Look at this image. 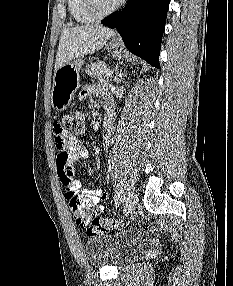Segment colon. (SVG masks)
<instances>
[{
  "mask_svg": "<svg viewBox=\"0 0 233 286\" xmlns=\"http://www.w3.org/2000/svg\"><path fill=\"white\" fill-rule=\"evenodd\" d=\"M61 130L70 131L74 134H79L84 128V114L80 110L67 112L61 123H58ZM67 202L73 214L88 225L87 235L95 237L105 234L113 229L121 227L123 222L118 219H109L96 216L97 213H89L83 208L81 199L74 192L66 194ZM93 214V219L90 221V216Z\"/></svg>",
  "mask_w": 233,
  "mask_h": 286,
  "instance_id": "5ec220e1",
  "label": "colon"
}]
</instances>
